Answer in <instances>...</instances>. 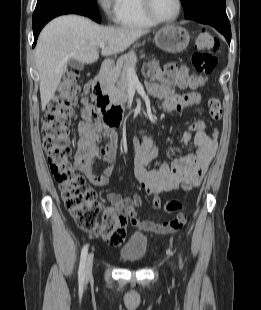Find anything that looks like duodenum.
<instances>
[{"label": "duodenum", "mask_w": 261, "mask_h": 310, "mask_svg": "<svg viewBox=\"0 0 261 310\" xmlns=\"http://www.w3.org/2000/svg\"><path fill=\"white\" fill-rule=\"evenodd\" d=\"M111 68L109 60H105L99 73L91 82L92 96L95 101V109L91 119L98 128L119 127L130 115V111L121 105L113 104L105 90L104 79Z\"/></svg>", "instance_id": "410a0bca"}]
</instances>
